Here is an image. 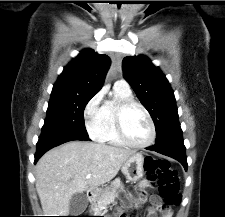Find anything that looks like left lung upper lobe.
<instances>
[{
  "label": "left lung upper lobe",
  "mask_w": 225,
  "mask_h": 217,
  "mask_svg": "<svg viewBox=\"0 0 225 217\" xmlns=\"http://www.w3.org/2000/svg\"><path fill=\"white\" fill-rule=\"evenodd\" d=\"M122 67L125 79L154 121L155 144L182 135L174 92L159 68L143 55L125 57Z\"/></svg>",
  "instance_id": "5c2ea615"
}]
</instances>
